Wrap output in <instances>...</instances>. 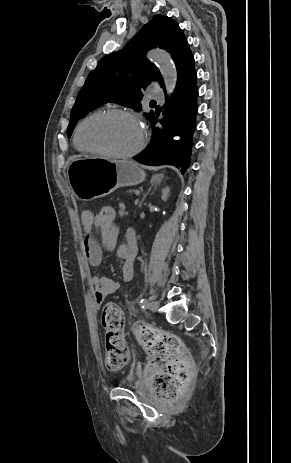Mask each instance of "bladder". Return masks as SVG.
Instances as JSON below:
<instances>
[{"label":"bladder","mask_w":291,"mask_h":463,"mask_svg":"<svg viewBox=\"0 0 291 463\" xmlns=\"http://www.w3.org/2000/svg\"><path fill=\"white\" fill-rule=\"evenodd\" d=\"M123 387L135 388L141 385L140 381L134 375H128L121 381Z\"/></svg>","instance_id":"31cf9c89"}]
</instances>
